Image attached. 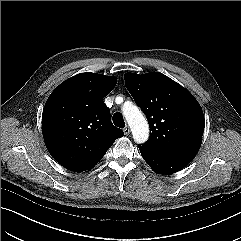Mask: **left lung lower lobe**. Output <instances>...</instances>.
Masks as SVG:
<instances>
[{
  "instance_id": "1",
  "label": "left lung lower lobe",
  "mask_w": 241,
  "mask_h": 241,
  "mask_svg": "<svg viewBox=\"0 0 241 241\" xmlns=\"http://www.w3.org/2000/svg\"><path fill=\"white\" fill-rule=\"evenodd\" d=\"M139 150L141 152L142 157L145 159L147 164L155 171L160 174H171L181 170L188 163H183L180 161L172 160L161 156L149 149L140 146Z\"/></svg>"
}]
</instances>
